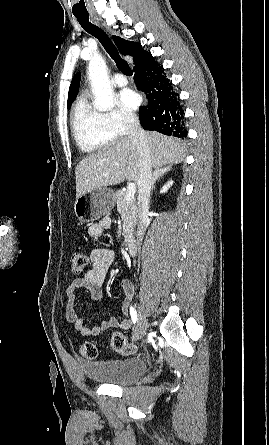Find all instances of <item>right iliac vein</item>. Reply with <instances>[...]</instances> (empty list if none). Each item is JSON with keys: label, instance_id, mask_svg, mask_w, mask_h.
Returning <instances> with one entry per match:
<instances>
[{"label": "right iliac vein", "instance_id": "right-iliac-vein-1", "mask_svg": "<svg viewBox=\"0 0 269 445\" xmlns=\"http://www.w3.org/2000/svg\"><path fill=\"white\" fill-rule=\"evenodd\" d=\"M146 325H147V322H146L145 316L143 315L142 311L140 310L138 321H137V324L135 326L133 336H132L134 341H137L143 337L145 330H146Z\"/></svg>", "mask_w": 269, "mask_h": 445}]
</instances>
